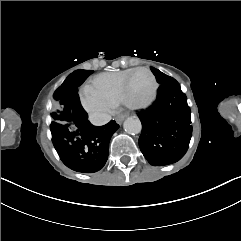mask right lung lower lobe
I'll list each match as a JSON object with an SVG mask.
<instances>
[{"mask_svg": "<svg viewBox=\"0 0 241 241\" xmlns=\"http://www.w3.org/2000/svg\"><path fill=\"white\" fill-rule=\"evenodd\" d=\"M70 74L67 78H70ZM79 82L67 81L65 100L73 122L51 127L53 145L62 162L72 170L84 173L99 171L108 158L109 141L119 128L114 120L104 126H94L88 121L77 94Z\"/></svg>", "mask_w": 241, "mask_h": 241, "instance_id": "1", "label": "right lung lower lobe"}]
</instances>
